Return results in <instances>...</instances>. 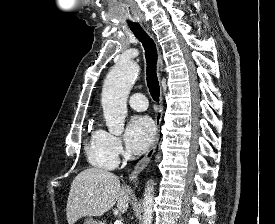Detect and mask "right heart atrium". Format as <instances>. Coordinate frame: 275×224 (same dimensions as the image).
I'll return each instance as SVG.
<instances>
[{
	"instance_id": "obj_1",
	"label": "right heart atrium",
	"mask_w": 275,
	"mask_h": 224,
	"mask_svg": "<svg viewBox=\"0 0 275 224\" xmlns=\"http://www.w3.org/2000/svg\"><path fill=\"white\" fill-rule=\"evenodd\" d=\"M107 142L111 152L118 158L123 155L122 141L119 136L106 132Z\"/></svg>"
}]
</instances>
